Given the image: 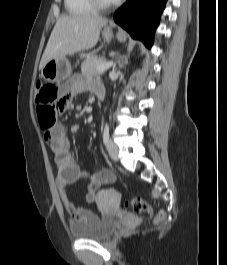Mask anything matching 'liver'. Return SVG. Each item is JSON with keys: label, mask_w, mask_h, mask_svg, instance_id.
<instances>
[{"label": "liver", "mask_w": 227, "mask_h": 265, "mask_svg": "<svg viewBox=\"0 0 227 265\" xmlns=\"http://www.w3.org/2000/svg\"><path fill=\"white\" fill-rule=\"evenodd\" d=\"M107 23V19L97 15H62L50 35L39 69L42 70L52 59H63L66 55L94 47Z\"/></svg>", "instance_id": "liver-1"}]
</instances>
